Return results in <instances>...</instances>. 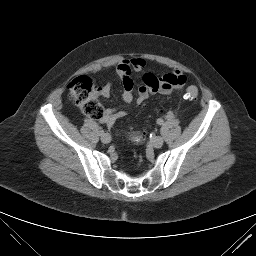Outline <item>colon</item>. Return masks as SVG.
Instances as JSON below:
<instances>
[{"mask_svg":"<svg viewBox=\"0 0 256 256\" xmlns=\"http://www.w3.org/2000/svg\"><path fill=\"white\" fill-rule=\"evenodd\" d=\"M69 98L75 102L82 113L93 119H101L104 116V109L98 101L99 89L95 83L87 76H78L74 78L67 86ZM198 96V88L189 86L186 89V98L195 99ZM131 141L141 142V134L130 135Z\"/></svg>","mask_w":256,"mask_h":256,"instance_id":"1","label":"colon"}]
</instances>
